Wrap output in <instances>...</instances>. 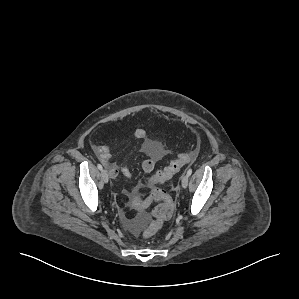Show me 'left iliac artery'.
I'll return each mask as SVG.
<instances>
[{"label":"left iliac artery","mask_w":299,"mask_h":299,"mask_svg":"<svg viewBox=\"0 0 299 299\" xmlns=\"http://www.w3.org/2000/svg\"><path fill=\"white\" fill-rule=\"evenodd\" d=\"M191 174H192V169L189 168V169L187 170V175L190 176Z\"/></svg>","instance_id":"obj_1"}]
</instances>
